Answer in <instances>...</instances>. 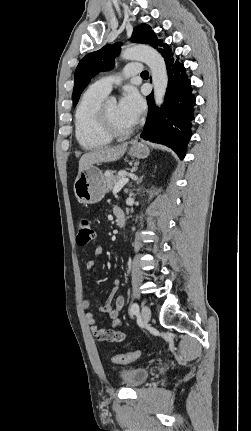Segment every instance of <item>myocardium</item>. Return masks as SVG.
I'll return each mask as SVG.
<instances>
[{
  "label": "myocardium",
  "instance_id": "1",
  "mask_svg": "<svg viewBox=\"0 0 251 431\" xmlns=\"http://www.w3.org/2000/svg\"><path fill=\"white\" fill-rule=\"evenodd\" d=\"M109 101H103L98 110V126L100 130L110 138H123L130 135L134 131V125L127 129L117 128L111 121L107 104Z\"/></svg>",
  "mask_w": 251,
  "mask_h": 431
}]
</instances>
